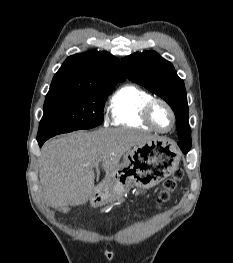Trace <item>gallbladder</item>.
Masks as SVG:
<instances>
[{
  "label": "gallbladder",
  "instance_id": "1",
  "mask_svg": "<svg viewBox=\"0 0 233 263\" xmlns=\"http://www.w3.org/2000/svg\"><path fill=\"white\" fill-rule=\"evenodd\" d=\"M63 213H67L69 211V208L65 207V208H61L60 209Z\"/></svg>",
  "mask_w": 233,
  "mask_h": 263
}]
</instances>
